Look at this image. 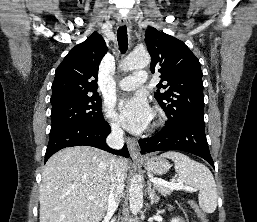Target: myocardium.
<instances>
[{"label": "myocardium", "mask_w": 257, "mask_h": 222, "mask_svg": "<svg viewBox=\"0 0 257 222\" xmlns=\"http://www.w3.org/2000/svg\"><path fill=\"white\" fill-rule=\"evenodd\" d=\"M156 116L157 117H156V121L154 123V126H159L164 120V115H163L161 110H158Z\"/></svg>", "instance_id": "obj_1"}]
</instances>
